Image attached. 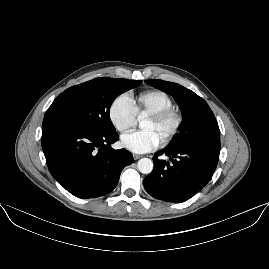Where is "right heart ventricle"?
Returning a JSON list of instances; mask_svg holds the SVG:
<instances>
[{
  "mask_svg": "<svg viewBox=\"0 0 269 269\" xmlns=\"http://www.w3.org/2000/svg\"><path fill=\"white\" fill-rule=\"evenodd\" d=\"M173 107L172 98L164 91L152 90L140 94L134 101V108L138 118L150 113Z\"/></svg>",
  "mask_w": 269,
  "mask_h": 269,
  "instance_id": "1",
  "label": "right heart ventricle"
}]
</instances>
